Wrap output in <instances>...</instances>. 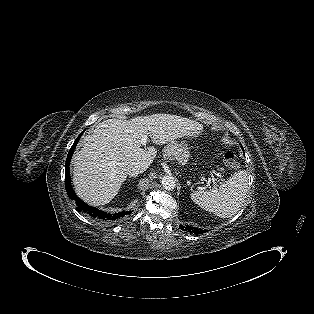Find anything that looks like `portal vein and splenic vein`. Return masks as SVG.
I'll return each mask as SVG.
<instances>
[{
	"instance_id": "18ae733b",
	"label": "portal vein and splenic vein",
	"mask_w": 314,
	"mask_h": 314,
	"mask_svg": "<svg viewBox=\"0 0 314 314\" xmlns=\"http://www.w3.org/2000/svg\"><path fill=\"white\" fill-rule=\"evenodd\" d=\"M147 143V137H143L141 139V144L145 145ZM216 176L221 177V175H219L218 173H215ZM215 180V178H213V181Z\"/></svg>"
}]
</instances>
